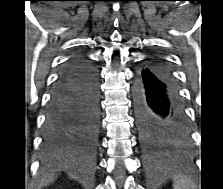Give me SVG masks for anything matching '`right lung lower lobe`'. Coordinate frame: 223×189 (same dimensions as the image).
<instances>
[{
    "label": "right lung lower lobe",
    "instance_id": "1",
    "mask_svg": "<svg viewBox=\"0 0 223 189\" xmlns=\"http://www.w3.org/2000/svg\"><path fill=\"white\" fill-rule=\"evenodd\" d=\"M99 128V85L95 66L84 56L71 58L53 88L43 132L48 152L88 151Z\"/></svg>",
    "mask_w": 223,
    "mask_h": 189
}]
</instances>
